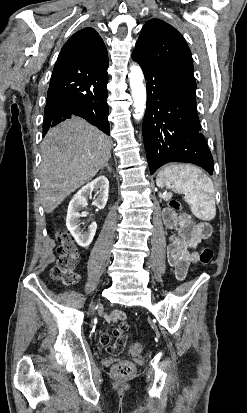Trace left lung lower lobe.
Instances as JSON below:
<instances>
[{
  "label": "left lung lower lobe",
  "mask_w": 247,
  "mask_h": 413,
  "mask_svg": "<svg viewBox=\"0 0 247 413\" xmlns=\"http://www.w3.org/2000/svg\"><path fill=\"white\" fill-rule=\"evenodd\" d=\"M143 70L147 107L142 126L150 173L168 162L196 164L213 174L214 162L197 114L195 89L132 54Z\"/></svg>",
  "instance_id": "left-lung-lower-lobe-1"
}]
</instances>
